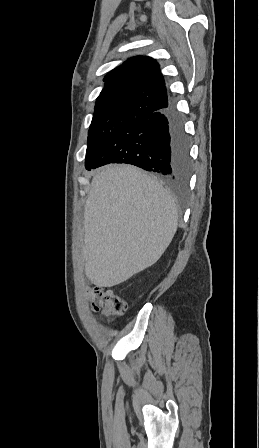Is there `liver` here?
Returning a JSON list of instances; mask_svg holds the SVG:
<instances>
[{
    "mask_svg": "<svg viewBox=\"0 0 259 448\" xmlns=\"http://www.w3.org/2000/svg\"><path fill=\"white\" fill-rule=\"evenodd\" d=\"M91 186L83 214L85 274L97 288H112L161 258L178 212L156 178L135 166H105Z\"/></svg>",
    "mask_w": 259,
    "mask_h": 448,
    "instance_id": "1",
    "label": "liver"
}]
</instances>
